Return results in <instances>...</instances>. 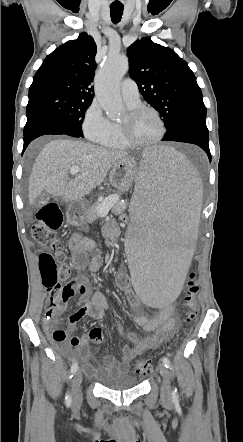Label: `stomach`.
I'll return each mask as SVG.
<instances>
[{
    "label": "stomach",
    "instance_id": "1",
    "mask_svg": "<svg viewBox=\"0 0 243 442\" xmlns=\"http://www.w3.org/2000/svg\"><path fill=\"white\" fill-rule=\"evenodd\" d=\"M137 163L133 158L126 157L117 162L110 171L109 180L120 192L128 191L134 181ZM67 222L73 226H82L87 220V212L80 208L79 203H73L69 206L67 213Z\"/></svg>",
    "mask_w": 243,
    "mask_h": 442
}]
</instances>
